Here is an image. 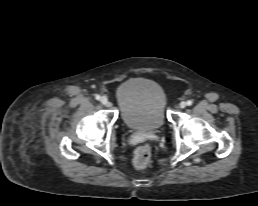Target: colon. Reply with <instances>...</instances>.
<instances>
[{"label": "colon", "instance_id": "colon-1", "mask_svg": "<svg viewBox=\"0 0 258 206\" xmlns=\"http://www.w3.org/2000/svg\"><path fill=\"white\" fill-rule=\"evenodd\" d=\"M151 149L148 144L139 146L133 156V163L137 167H145L151 162Z\"/></svg>", "mask_w": 258, "mask_h": 206}]
</instances>
